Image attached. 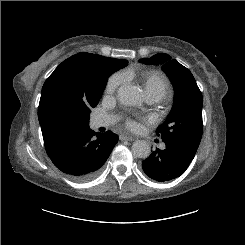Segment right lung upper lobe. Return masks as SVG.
<instances>
[{
    "mask_svg": "<svg viewBox=\"0 0 245 245\" xmlns=\"http://www.w3.org/2000/svg\"><path fill=\"white\" fill-rule=\"evenodd\" d=\"M100 57L103 56L85 52L73 55L63 61L45 81L38 107V119L47 154L71 135L85 129L80 125L62 124L55 121L49 110L51 95L56 91H61L78 106L92 108L99 89L91 71V65ZM104 58L115 63L119 69L128 64L127 60Z\"/></svg>",
    "mask_w": 245,
    "mask_h": 245,
    "instance_id": "1",
    "label": "right lung upper lobe"
}]
</instances>
